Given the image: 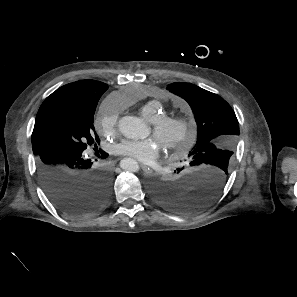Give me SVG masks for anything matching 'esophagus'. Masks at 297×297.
I'll return each instance as SVG.
<instances>
[{
  "label": "esophagus",
  "mask_w": 297,
  "mask_h": 297,
  "mask_svg": "<svg viewBox=\"0 0 297 297\" xmlns=\"http://www.w3.org/2000/svg\"><path fill=\"white\" fill-rule=\"evenodd\" d=\"M141 168H142L143 171L146 172V173H151V172H152L151 168H149V167H148L147 165H145V164H141Z\"/></svg>",
  "instance_id": "esophagus-1"
}]
</instances>
